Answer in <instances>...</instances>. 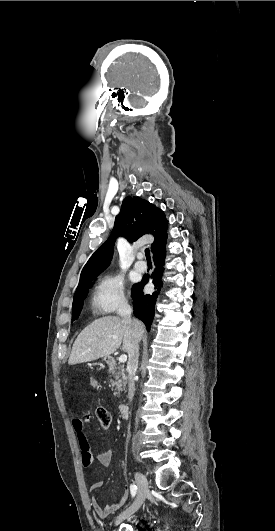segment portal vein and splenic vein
<instances>
[{
  "mask_svg": "<svg viewBox=\"0 0 275 531\" xmlns=\"http://www.w3.org/2000/svg\"><path fill=\"white\" fill-rule=\"evenodd\" d=\"M127 361V355H121V357H119V363H126Z\"/></svg>",
  "mask_w": 275,
  "mask_h": 531,
  "instance_id": "18ae733b",
  "label": "portal vein and splenic vein"
}]
</instances>
